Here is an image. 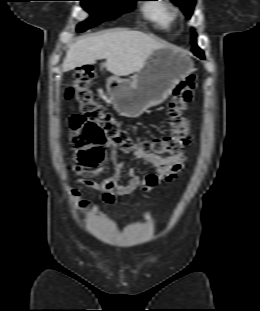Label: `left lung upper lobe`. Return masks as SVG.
<instances>
[{
	"label": "left lung upper lobe",
	"instance_id": "obj_1",
	"mask_svg": "<svg viewBox=\"0 0 260 311\" xmlns=\"http://www.w3.org/2000/svg\"><path fill=\"white\" fill-rule=\"evenodd\" d=\"M174 4L178 5L183 12L185 13L186 17L189 19L191 17L192 14V10L194 8L195 5V0H171ZM193 52L196 54H201L204 56L202 50L200 48H198V46L196 45V42H193Z\"/></svg>",
	"mask_w": 260,
	"mask_h": 311
}]
</instances>
